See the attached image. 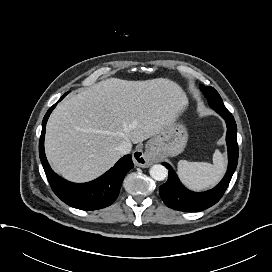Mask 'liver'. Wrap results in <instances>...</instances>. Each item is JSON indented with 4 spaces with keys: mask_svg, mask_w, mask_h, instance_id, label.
Instances as JSON below:
<instances>
[{
    "mask_svg": "<svg viewBox=\"0 0 272 272\" xmlns=\"http://www.w3.org/2000/svg\"><path fill=\"white\" fill-rule=\"evenodd\" d=\"M187 106L172 80L109 78L58 104L46 127V156L66 179L92 180L118 161L123 141L137 144L158 134Z\"/></svg>",
    "mask_w": 272,
    "mask_h": 272,
    "instance_id": "obj_1",
    "label": "liver"
}]
</instances>
